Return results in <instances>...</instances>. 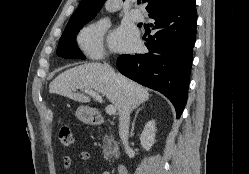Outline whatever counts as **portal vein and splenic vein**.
I'll return each instance as SVG.
<instances>
[{
    "mask_svg": "<svg viewBox=\"0 0 249 174\" xmlns=\"http://www.w3.org/2000/svg\"><path fill=\"white\" fill-rule=\"evenodd\" d=\"M84 92L86 94L92 96L97 101L102 102V97L97 92L92 91V90H85ZM105 110H106V113L108 115H114L115 112H116V109H115V107L113 105H108Z\"/></svg>",
    "mask_w": 249,
    "mask_h": 174,
    "instance_id": "portal-vein-and-splenic-vein-1",
    "label": "portal vein and splenic vein"
}]
</instances>
